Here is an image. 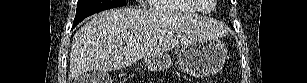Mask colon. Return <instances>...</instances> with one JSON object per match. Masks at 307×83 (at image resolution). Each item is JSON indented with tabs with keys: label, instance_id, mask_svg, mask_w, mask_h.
<instances>
[{
	"label": "colon",
	"instance_id": "obj_1",
	"mask_svg": "<svg viewBox=\"0 0 307 83\" xmlns=\"http://www.w3.org/2000/svg\"><path fill=\"white\" fill-rule=\"evenodd\" d=\"M205 82L206 83H215V81L213 79H207Z\"/></svg>",
	"mask_w": 307,
	"mask_h": 83
}]
</instances>
